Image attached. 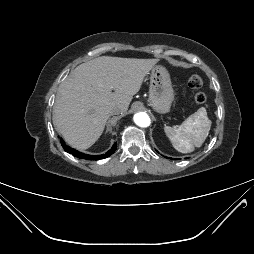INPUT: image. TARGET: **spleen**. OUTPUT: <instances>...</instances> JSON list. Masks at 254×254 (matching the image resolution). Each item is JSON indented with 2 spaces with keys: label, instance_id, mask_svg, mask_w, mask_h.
<instances>
[{
  "label": "spleen",
  "instance_id": "obj_1",
  "mask_svg": "<svg viewBox=\"0 0 254 254\" xmlns=\"http://www.w3.org/2000/svg\"><path fill=\"white\" fill-rule=\"evenodd\" d=\"M211 123L206 109L201 107L180 126H165L164 131L177 151L190 153L195 147L202 146L209 134Z\"/></svg>",
  "mask_w": 254,
  "mask_h": 254
}]
</instances>
